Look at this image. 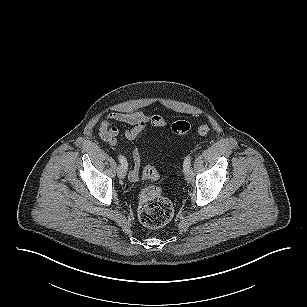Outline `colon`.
<instances>
[{
    "label": "colon",
    "mask_w": 307,
    "mask_h": 307,
    "mask_svg": "<svg viewBox=\"0 0 307 307\" xmlns=\"http://www.w3.org/2000/svg\"><path fill=\"white\" fill-rule=\"evenodd\" d=\"M191 125L186 121H177L171 125V131L176 135L187 134ZM198 134L206 136L210 132V126L202 124L197 129ZM142 176L148 181H156L159 173L153 165H146ZM173 215V205L166 198L157 185L145 186L139 194L138 199V217L147 227L158 228L166 225Z\"/></svg>",
    "instance_id": "colon-1"
}]
</instances>
